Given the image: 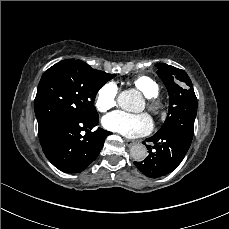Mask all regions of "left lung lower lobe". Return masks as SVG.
<instances>
[{
    "instance_id": "1",
    "label": "left lung lower lobe",
    "mask_w": 229,
    "mask_h": 229,
    "mask_svg": "<svg viewBox=\"0 0 229 229\" xmlns=\"http://www.w3.org/2000/svg\"><path fill=\"white\" fill-rule=\"evenodd\" d=\"M146 141L154 142V152L135 166L147 177L158 178L175 170L186 155L192 139L181 134L157 132ZM144 143V142H143ZM151 148V146H147Z\"/></svg>"
}]
</instances>
